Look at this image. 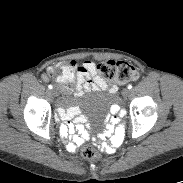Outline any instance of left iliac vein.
<instances>
[{
    "instance_id": "obj_1",
    "label": "left iliac vein",
    "mask_w": 183,
    "mask_h": 183,
    "mask_svg": "<svg viewBox=\"0 0 183 183\" xmlns=\"http://www.w3.org/2000/svg\"><path fill=\"white\" fill-rule=\"evenodd\" d=\"M129 94H130V90H129V89H127V88L123 89V91H122V96H123L124 98L128 97Z\"/></svg>"
}]
</instances>
